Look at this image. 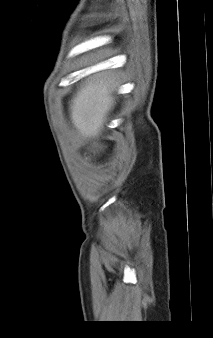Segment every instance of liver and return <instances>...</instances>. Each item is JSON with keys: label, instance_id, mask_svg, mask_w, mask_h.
<instances>
[{"label": "liver", "instance_id": "1", "mask_svg": "<svg viewBox=\"0 0 213 338\" xmlns=\"http://www.w3.org/2000/svg\"><path fill=\"white\" fill-rule=\"evenodd\" d=\"M117 84L113 75L99 73L86 81L70 103V119L77 136L83 141L97 139L115 104Z\"/></svg>", "mask_w": 213, "mask_h": 338}]
</instances>
